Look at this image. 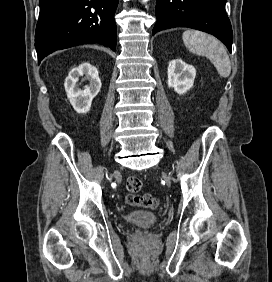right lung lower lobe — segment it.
<instances>
[{"label":"right lung lower lobe","instance_id":"1","mask_svg":"<svg viewBox=\"0 0 272 282\" xmlns=\"http://www.w3.org/2000/svg\"><path fill=\"white\" fill-rule=\"evenodd\" d=\"M35 47L38 63L50 53L85 43L116 49L118 0H39Z\"/></svg>","mask_w":272,"mask_h":282}]
</instances>
